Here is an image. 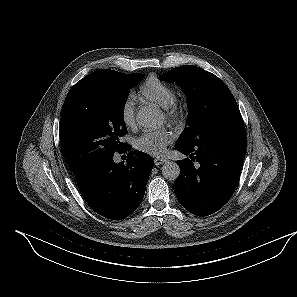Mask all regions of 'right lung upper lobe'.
I'll return each mask as SVG.
<instances>
[{"instance_id":"cb5924a9","label":"right lung upper lobe","mask_w":297,"mask_h":297,"mask_svg":"<svg viewBox=\"0 0 297 297\" xmlns=\"http://www.w3.org/2000/svg\"><path fill=\"white\" fill-rule=\"evenodd\" d=\"M118 72L113 71V70H108V69H102V70H98L95 71L89 75H87L86 77H84L83 79H81L80 81H78L69 91V93H72L73 91H75L76 89L85 86V85H89V84H95V83H105L107 82L110 78H112L113 76H115ZM76 175V174H75Z\"/></svg>"}]
</instances>
